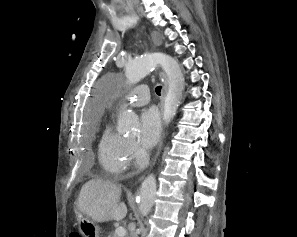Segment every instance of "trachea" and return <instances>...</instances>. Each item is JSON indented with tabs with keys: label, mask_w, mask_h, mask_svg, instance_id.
I'll use <instances>...</instances> for the list:
<instances>
[{
	"label": "trachea",
	"mask_w": 297,
	"mask_h": 237,
	"mask_svg": "<svg viewBox=\"0 0 297 237\" xmlns=\"http://www.w3.org/2000/svg\"><path fill=\"white\" fill-rule=\"evenodd\" d=\"M161 89H162V86H157L155 91L157 93V95H160L161 94Z\"/></svg>",
	"instance_id": "1"
}]
</instances>
